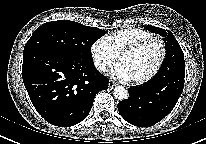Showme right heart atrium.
I'll return each instance as SVG.
<instances>
[{"label": "right heart atrium", "instance_id": "1", "mask_svg": "<svg viewBox=\"0 0 206 144\" xmlns=\"http://www.w3.org/2000/svg\"><path fill=\"white\" fill-rule=\"evenodd\" d=\"M90 55L95 68L100 72H106L117 59L105 38H99L91 44Z\"/></svg>", "mask_w": 206, "mask_h": 144}]
</instances>
